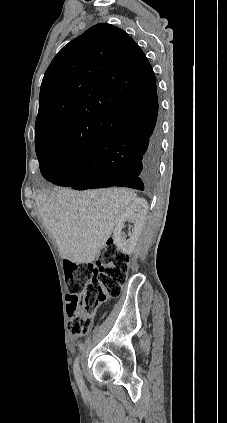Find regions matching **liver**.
Returning <instances> with one entry per match:
<instances>
[{"mask_svg": "<svg viewBox=\"0 0 227 423\" xmlns=\"http://www.w3.org/2000/svg\"><path fill=\"white\" fill-rule=\"evenodd\" d=\"M135 198L125 188L86 192L55 188L54 194H39L36 206L62 257L90 263L106 245L120 213Z\"/></svg>", "mask_w": 227, "mask_h": 423, "instance_id": "liver-1", "label": "liver"}]
</instances>
